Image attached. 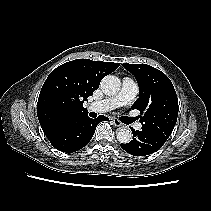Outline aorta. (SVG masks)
<instances>
[{"mask_svg":"<svg viewBox=\"0 0 211 211\" xmlns=\"http://www.w3.org/2000/svg\"><path fill=\"white\" fill-rule=\"evenodd\" d=\"M120 86V79L114 75L105 76L100 84L103 93L108 96L117 94ZM117 139L120 143L127 144L132 140V132L129 129L122 128L117 132Z\"/></svg>","mask_w":211,"mask_h":211,"instance_id":"1","label":"aorta"}]
</instances>
